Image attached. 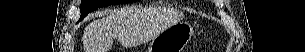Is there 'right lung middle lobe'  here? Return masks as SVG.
I'll list each match as a JSON object with an SVG mask.
<instances>
[{
    "label": "right lung middle lobe",
    "mask_w": 305,
    "mask_h": 52,
    "mask_svg": "<svg viewBox=\"0 0 305 52\" xmlns=\"http://www.w3.org/2000/svg\"><path fill=\"white\" fill-rule=\"evenodd\" d=\"M139 0H81V16L80 20L84 19L90 12L112 4H125Z\"/></svg>",
    "instance_id": "dd1d6c3e"
}]
</instances>
